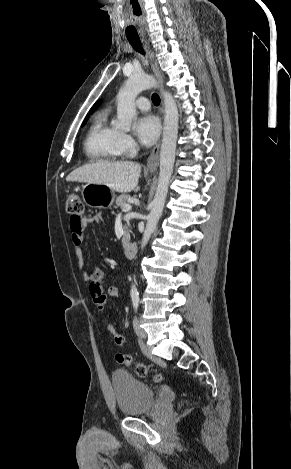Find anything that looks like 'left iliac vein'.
<instances>
[{
	"mask_svg": "<svg viewBox=\"0 0 291 469\" xmlns=\"http://www.w3.org/2000/svg\"><path fill=\"white\" fill-rule=\"evenodd\" d=\"M133 326H134V330H135V333L136 335L140 338V339H146L147 338V334L146 332L140 327L139 325V321L137 318H134V321H133ZM143 350L146 354H149V352L147 351V349L143 346Z\"/></svg>",
	"mask_w": 291,
	"mask_h": 469,
	"instance_id": "left-iliac-vein-1",
	"label": "left iliac vein"
}]
</instances>
